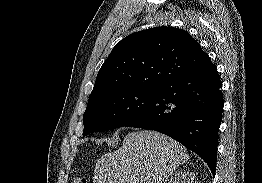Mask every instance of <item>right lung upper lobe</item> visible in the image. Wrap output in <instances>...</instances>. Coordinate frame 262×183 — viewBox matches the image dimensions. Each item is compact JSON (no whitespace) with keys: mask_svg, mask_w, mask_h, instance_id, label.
Segmentation results:
<instances>
[{"mask_svg":"<svg viewBox=\"0 0 262 183\" xmlns=\"http://www.w3.org/2000/svg\"><path fill=\"white\" fill-rule=\"evenodd\" d=\"M210 61L183 29L162 26L135 32L113 48L98 72L89 100L124 89H157Z\"/></svg>","mask_w":262,"mask_h":183,"instance_id":"right-lung-upper-lobe-1","label":"right lung upper lobe"}]
</instances>
